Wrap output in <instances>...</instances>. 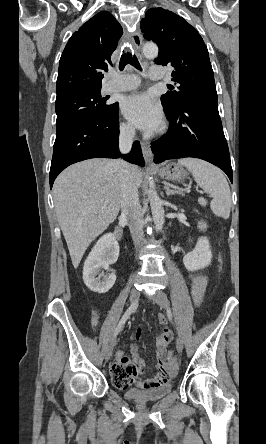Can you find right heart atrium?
Wrapping results in <instances>:
<instances>
[{
    "mask_svg": "<svg viewBox=\"0 0 266 444\" xmlns=\"http://www.w3.org/2000/svg\"><path fill=\"white\" fill-rule=\"evenodd\" d=\"M120 131H121V134L124 136H130L132 134V128L127 123L120 124Z\"/></svg>",
    "mask_w": 266,
    "mask_h": 444,
    "instance_id": "obj_1",
    "label": "right heart atrium"
}]
</instances>
